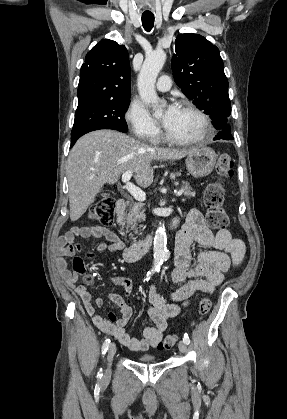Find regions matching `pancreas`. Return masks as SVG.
<instances>
[{
	"label": "pancreas",
	"instance_id": "pancreas-1",
	"mask_svg": "<svg viewBox=\"0 0 287 419\" xmlns=\"http://www.w3.org/2000/svg\"><path fill=\"white\" fill-rule=\"evenodd\" d=\"M182 189L184 191V197L190 198L195 195V192L193 189L189 186L187 182H183ZM145 208L144 204L142 203H132L128 209V213L124 214L119 223L123 226V228H126V232H129L130 230H134L135 233H138V231L142 228V226H138V224L145 220ZM122 228V230H123ZM139 229V230H138ZM135 239V238H132Z\"/></svg>",
	"mask_w": 287,
	"mask_h": 419
}]
</instances>
